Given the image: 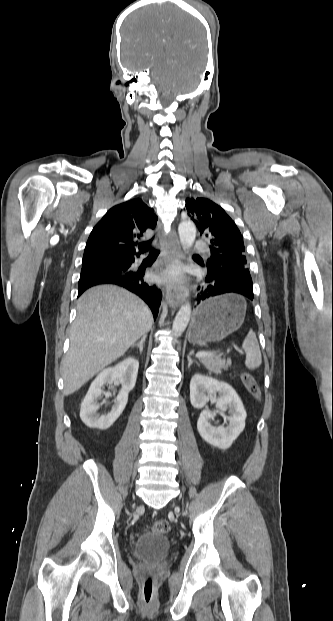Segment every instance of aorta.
Returning <instances> with one entry per match:
<instances>
[{
  "mask_svg": "<svg viewBox=\"0 0 333 621\" xmlns=\"http://www.w3.org/2000/svg\"><path fill=\"white\" fill-rule=\"evenodd\" d=\"M181 245L184 250L192 247L196 238V227L191 221H182L178 227ZM191 316V304L184 303L177 312L173 321L172 330L175 337H179L185 331Z\"/></svg>",
  "mask_w": 333,
  "mask_h": 621,
  "instance_id": "1",
  "label": "aorta"
}]
</instances>
